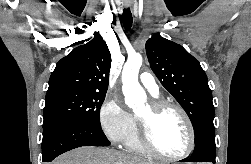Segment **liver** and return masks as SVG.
Masks as SVG:
<instances>
[{
    "mask_svg": "<svg viewBox=\"0 0 251 164\" xmlns=\"http://www.w3.org/2000/svg\"><path fill=\"white\" fill-rule=\"evenodd\" d=\"M51 164H155L108 148L84 146L59 156Z\"/></svg>",
    "mask_w": 251,
    "mask_h": 164,
    "instance_id": "6515ba94",
    "label": "liver"
}]
</instances>
